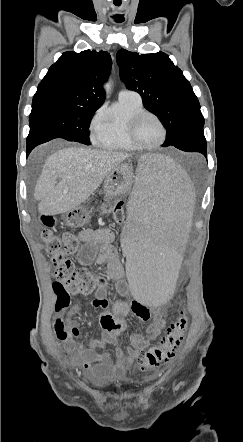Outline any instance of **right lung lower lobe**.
Wrapping results in <instances>:
<instances>
[{"label":"right lung lower lobe","instance_id":"98d812e1","mask_svg":"<svg viewBox=\"0 0 243 442\" xmlns=\"http://www.w3.org/2000/svg\"><path fill=\"white\" fill-rule=\"evenodd\" d=\"M55 138H62V134L43 128L30 129L27 137V155L39 144L45 143Z\"/></svg>","mask_w":243,"mask_h":442}]
</instances>
